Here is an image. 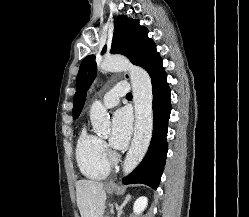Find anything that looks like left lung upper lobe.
Wrapping results in <instances>:
<instances>
[{
	"instance_id": "obj_1",
	"label": "left lung upper lobe",
	"mask_w": 249,
	"mask_h": 217,
	"mask_svg": "<svg viewBox=\"0 0 249 217\" xmlns=\"http://www.w3.org/2000/svg\"><path fill=\"white\" fill-rule=\"evenodd\" d=\"M106 51V46L102 53ZM111 53L122 54L130 61L144 68L148 73L162 61L156 51V45L148 38V31L141 28L139 20H133L126 15H119L115 20L114 34L111 46ZM97 73L95 55L86 56L79 68L76 80L77 91L74 96L73 112L76 118L79 116L88 88L93 82Z\"/></svg>"
}]
</instances>
